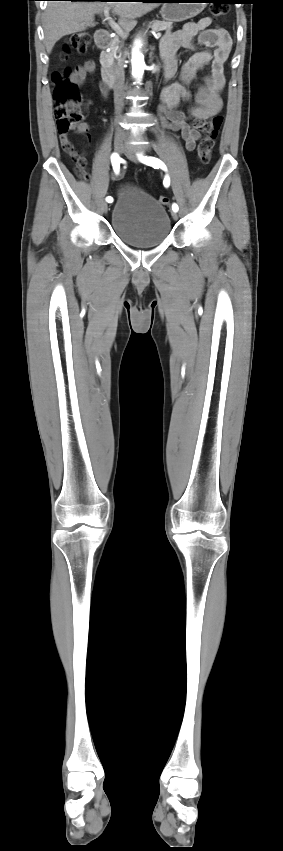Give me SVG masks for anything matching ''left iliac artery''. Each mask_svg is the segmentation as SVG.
I'll return each mask as SVG.
<instances>
[{
  "instance_id": "1",
  "label": "left iliac artery",
  "mask_w": 283,
  "mask_h": 851,
  "mask_svg": "<svg viewBox=\"0 0 283 851\" xmlns=\"http://www.w3.org/2000/svg\"><path fill=\"white\" fill-rule=\"evenodd\" d=\"M139 160L146 165L152 166L153 168H161L164 171L167 170L166 165L158 158L139 155ZM163 184L165 187H168L170 185V178L168 177V175L165 176ZM172 210L174 212H177L178 205L174 203L172 205Z\"/></svg>"
}]
</instances>
